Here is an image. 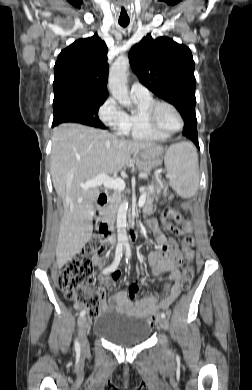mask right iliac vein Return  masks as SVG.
<instances>
[{"instance_id":"right-iliac-vein-1","label":"right iliac vein","mask_w":252,"mask_h":390,"mask_svg":"<svg viewBox=\"0 0 252 390\" xmlns=\"http://www.w3.org/2000/svg\"><path fill=\"white\" fill-rule=\"evenodd\" d=\"M78 333L79 341L83 350H86L89 346L88 342V333H89V323L85 317L80 318L78 322Z\"/></svg>"}]
</instances>
